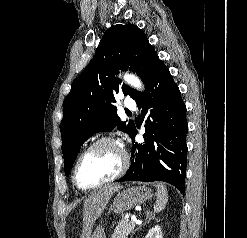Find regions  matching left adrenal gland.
I'll return each instance as SVG.
<instances>
[{
  "label": "left adrenal gland",
  "mask_w": 247,
  "mask_h": 238,
  "mask_svg": "<svg viewBox=\"0 0 247 238\" xmlns=\"http://www.w3.org/2000/svg\"><path fill=\"white\" fill-rule=\"evenodd\" d=\"M146 216H147V218H146L145 223H143L141 226H139L138 228H136L135 231L133 232V234H134L137 230H139L142 226H144V225H146L147 223H149L152 219H155V217L152 216V215L150 214V212H148V211H146Z\"/></svg>",
  "instance_id": "left-adrenal-gland-1"
}]
</instances>
